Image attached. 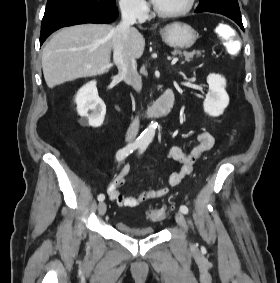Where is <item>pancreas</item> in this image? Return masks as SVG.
<instances>
[{"mask_svg":"<svg viewBox=\"0 0 280 283\" xmlns=\"http://www.w3.org/2000/svg\"><path fill=\"white\" fill-rule=\"evenodd\" d=\"M202 52L201 51H191V52H187V51H180V50H175L172 52V55H180L184 57V61L185 62H190L193 60L194 57H199L201 56Z\"/></svg>","mask_w":280,"mask_h":283,"instance_id":"cf45deb5","label":"pancreas"}]
</instances>
